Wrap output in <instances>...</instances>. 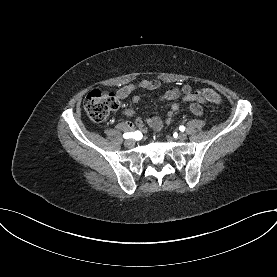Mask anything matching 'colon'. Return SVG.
I'll return each mask as SVG.
<instances>
[{"mask_svg": "<svg viewBox=\"0 0 277 277\" xmlns=\"http://www.w3.org/2000/svg\"><path fill=\"white\" fill-rule=\"evenodd\" d=\"M209 102H220V96L215 91L205 88L196 93ZM118 107L115 95L105 89H94L90 91L84 100V108L89 118L95 122L105 120Z\"/></svg>", "mask_w": 277, "mask_h": 277, "instance_id": "colon-1", "label": "colon"}]
</instances>
